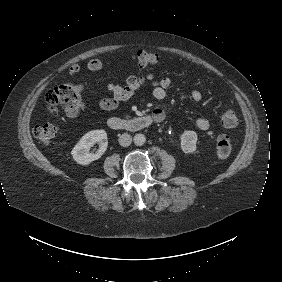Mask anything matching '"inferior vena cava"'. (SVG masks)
<instances>
[{
  "instance_id": "inferior-vena-cava-1",
  "label": "inferior vena cava",
  "mask_w": 282,
  "mask_h": 282,
  "mask_svg": "<svg viewBox=\"0 0 282 282\" xmlns=\"http://www.w3.org/2000/svg\"><path fill=\"white\" fill-rule=\"evenodd\" d=\"M118 141L121 146L128 147L132 143V137L131 135L124 133L119 137Z\"/></svg>"
}]
</instances>
